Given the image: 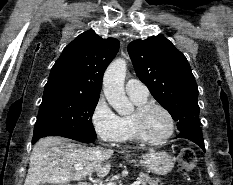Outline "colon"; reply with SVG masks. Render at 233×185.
<instances>
[{"label":"colon","instance_id":"colon-1","mask_svg":"<svg viewBox=\"0 0 233 185\" xmlns=\"http://www.w3.org/2000/svg\"><path fill=\"white\" fill-rule=\"evenodd\" d=\"M195 162L196 155L194 150L190 147L181 148L177 161L179 170L183 173L190 172L194 168Z\"/></svg>","mask_w":233,"mask_h":185}]
</instances>
